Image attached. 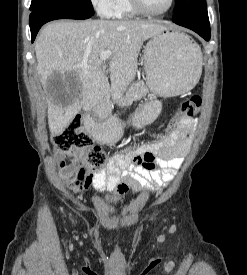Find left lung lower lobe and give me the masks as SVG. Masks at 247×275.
<instances>
[{
	"mask_svg": "<svg viewBox=\"0 0 247 275\" xmlns=\"http://www.w3.org/2000/svg\"><path fill=\"white\" fill-rule=\"evenodd\" d=\"M174 23L189 28L196 33H198L201 37H203L206 41L210 40V23L209 18H195L186 21H173Z\"/></svg>",
	"mask_w": 247,
	"mask_h": 275,
	"instance_id": "left-lung-lower-lobe-1",
	"label": "left lung lower lobe"
}]
</instances>
